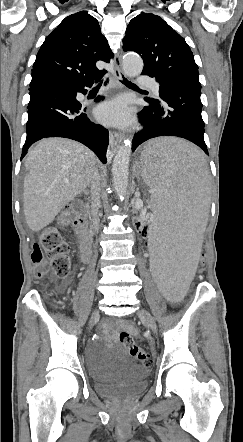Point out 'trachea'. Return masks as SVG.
I'll use <instances>...</instances> for the list:
<instances>
[{
  "label": "trachea",
  "instance_id": "trachea-1",
  "mask_svg": "<svg viewBox=\"0 0 243 442\" xmlns=\"http://www.w3.org/2000/svg\"><path fill=\"white\" fill-rule=\"evenodd\" d=\"M123 84H125L128 87H134L136 88L137 86L133 83H131L130 81H128L125 77H123V80L121 81ZM102 82L99 83V85H101Z\"/></svg>",
  "mask_w": 243,
  "mask_h": 442
}]
</instances>
